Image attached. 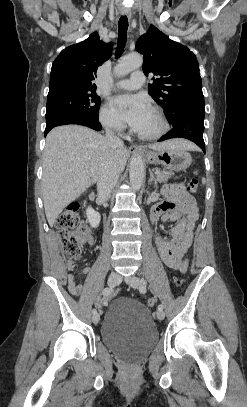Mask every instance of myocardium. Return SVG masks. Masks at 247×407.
I'll return each mask as SVG.
<instances>
[{"label": "myocardium", "instance_id": "myocardium-1", "mask_svg": "<svg viewBox=\"0 0 247 407\" xmlns=\"http://www.w3.org/2000/svg\"><path fill=\"white\" fill-rule=\"evenodd\" d=\"M159 120L161 124V128L158 132L152 134V135H144L139 132H137L135 129H133V134L140 140L143 141H156L160 138H162L169 130V123L168 120L166 119L165 115L163 112L157 108V107H151L149 109Z\"/></svg>", "mask_w": 247, "mask_h": 407}]
</instances>
